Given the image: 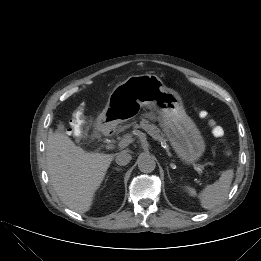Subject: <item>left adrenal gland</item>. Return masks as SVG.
<instances>
[{
    "mask_svg": "<svg viewBox=\"0 0 261 261\" xmlns=\"http://www.w3.org/2000/svg\"><path fill=\"white\" fill-rule=\"evenodd\" d=\"M166 170H167L168 178L171 180L168 168Z\"/></svg>",
    "mask_w": 261,
    "mask_h": 261,
    "instance_id": "1",
    "label": "left adrenal gland"
}]
</instances>
